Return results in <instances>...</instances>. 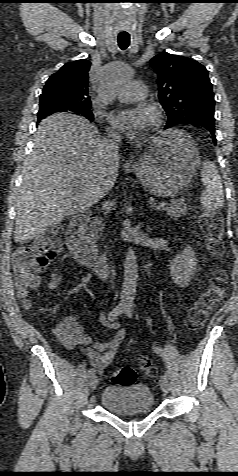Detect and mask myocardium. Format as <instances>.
Segmentation results:
<instances>
[{"label": "myocardium", "mask_w": 238, "mask_h": 476, "mask_svg": "<svg viewBox=\"0 0 238 476\" xmlns=\"http://www.w3.org/2000/svg\"><path fill=\"white\" fill-rule=\"evenodd\" d=\"M152 109V112H153V128H157L160 124H161V119H162V115H161V112L154 106H151L150 107Z\"/></svg>", "instance_id": "obj_1"}]
</instances>
